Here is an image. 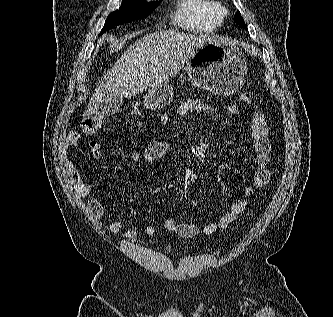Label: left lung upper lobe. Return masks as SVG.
<instances>
[{"label":"left lung upper lobe","mask_w":333,"mask_h":317,"mask_svg":"<svg viewBox=\"0 0 333 317\" xmlns=\"http://www.w3.org/2000/svg\"><path fill=\"white\" fill-rule=\"evenodd\" d=\"M235 22L239 25H241L242 27H244L245 29H247V26L245 25V22L240 14V12L236 13L235 15Z\"/></svg>","instance_id":"obj_1"}]
</instances>
